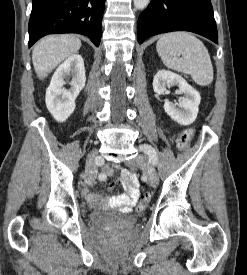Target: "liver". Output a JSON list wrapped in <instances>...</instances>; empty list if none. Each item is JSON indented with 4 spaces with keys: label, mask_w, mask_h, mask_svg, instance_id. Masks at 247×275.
Masks as SVG:
<instances>
[{
    "label": "liver",
    "mask_w": 247,
    "mask_h": 275,
    "mask_svg": "<svg viewBox=\"0 0 247 275\" xmlns=\"http://www.w3.org/2000/svg\"><path fill=\"white\" fill-rule=\"evenodd\" d=\"M80 47V39L73 35H52L41 39L32 52V62L37 76H47L57 65L77 53Z\"/></svg>",
    "instance_id": "1"
}]
</instances>
